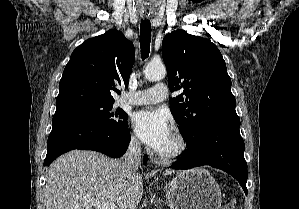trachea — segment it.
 I'll return each mask as SVG.
<instances>
[{"label": "trachea", "mask_w": 299, "mask_h": 209, "mask_svg": "<svg viewBox=\"0 0 299 209\" xmlns=\"http://www.w3.org/2000/svg\"><path fill=\"white\" fill-rule=\"evenodd\" d=\"M151 23L149 20H141L140 24V48L143 59L150 53Z\"/></svg>", "instance_id": "obj_1"}]
</instances>
